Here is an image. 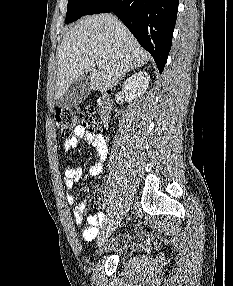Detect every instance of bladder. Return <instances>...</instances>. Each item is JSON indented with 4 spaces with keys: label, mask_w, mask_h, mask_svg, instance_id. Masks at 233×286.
<instances>
[{
    "label": "bladder",
    "mask_w": 233,
    "mask_h": 286,
    "mask_svg": "<svg viewBox=\"0 0 233 286\" xmlns=\"http://www.w3.org/2000/svg\"><path fill=\"white\" fill-rule=\"evenodd\" d=\"M104 243L103 244L99 243V248L96 251L97 256H102L104 254L105 252V249L103 248ZM128 248H129V245H128L127 237H122L111 245L110 250H115L117 252L122 253L128 250Z\"/></svg>",
    "instance_id": "obj_1"
}]
</instances>
